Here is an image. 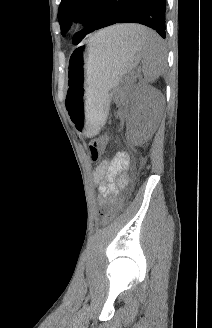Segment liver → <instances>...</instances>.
Returning <instances> with one entry per match:
<instances>
[{"instance_id": "liver-1", "label": "liver", "mask_w": 212, "mask_h": 328, "mask_svg": "<svg viewBox=\"0 0 212 328\" xmlns=\"http://www.w3.org/2000/svg\"><path fill=\"white\" fill-rule=\"evenodd\" d=\"M135 25H115L96 33L91 39L107 41L112 39L135 40Z\"/></svg>"}]
</instances>
